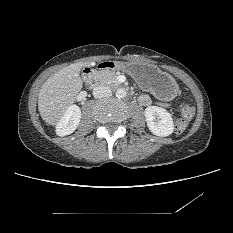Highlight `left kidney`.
I'll return each instance as SVG.
<instances>
[{"label": "left kidney", "mask_w": 233, "mask_h": 233, "mask_svg": "<svg viewBox=\"0 0 233 233\" xmlns=\"http://www.w3.org/2000/svg\"><path fill=\"white\" fill-rule=\"evenodd\" d=\"M144 114L147 126L154 135L166 137L173 133V119L167 110L157 106H148Z\"/></svg>", "instance_id": "left-kidney-1"}]
</instances>
